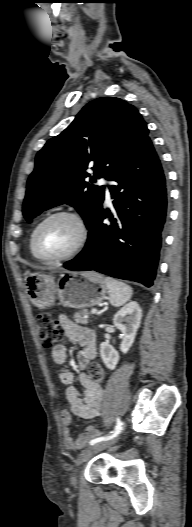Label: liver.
<instances>
[{
    "instance_id": "6515ba94",
    "label": "liver",
    "mask_w": 192,
    "mask_h": 527,
    "mask_svg": "<svg viewBox=\"0 0 192 527\" xmlns=\"http://www.w3.org/2000/svg\"><path fill=\"white\" fill-rule=\"evenodd\" d=\"M43 269H45V268H43ZM48 269L51 270V271H54V270H55L54 268H48Z\"/></svg>"
}]
</instances>
